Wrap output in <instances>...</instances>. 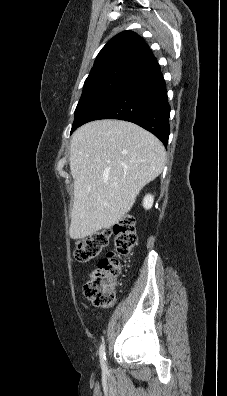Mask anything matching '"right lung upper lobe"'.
Listing matches in <instances>:
<instances>
[{"label":"right lung upper lobe","mask_w":227,"mask_h":396,"mask_svg":"<svg viewBox=\"0 0 227 396\" xmlns=\"http://www.w3.org/2000/svg\"><path fill=\"white\" fill-rule=\"evenodd\" d=\"M153 58L143 38L131 30L123 31L102 48L90 74L113 68L134 71Z\"/></svg>","instance_id":"obj_1"}]
</instances>
